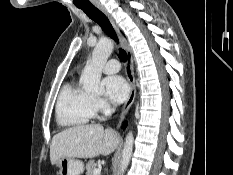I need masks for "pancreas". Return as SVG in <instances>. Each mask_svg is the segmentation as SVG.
Listing matches in <instances>:
<instances>
[{
	"mask_svg": "<svg viewBox=\"0 0 233 175\" xmlns=\"http://www.w3.org/2000/svg\"><path fill=\"white\" fill-rule=\"evenodd\" d=\"M97 169V164L94 160H90L86 164V175H93V171Z\"/></svg>",
	"mask_w": 233,
	"mask_h": 175,
	"instance_id": "obj_1",
	"label": "pancreas"
}]
</instances>
